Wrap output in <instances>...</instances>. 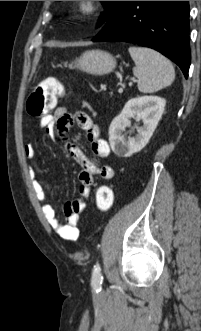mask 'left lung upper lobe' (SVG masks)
Masks as SVG:
<instances>
[{"label":"left lung upper lobe","instance_id":"left-lung-upper-lobe-1","mask_svg":"<svg viewBox=\"0 0 201 331\" xmlns=\"http://www.w3.org/2000/svg\"><path fill=\"white\" fill-rule=\"evenodd\" d=\"M120 2L121 1H102L106 12L99 18L98 26L104 24L114 14Z\"/></svg>","mask_w":201,"mask_h":331}]
</instances>
